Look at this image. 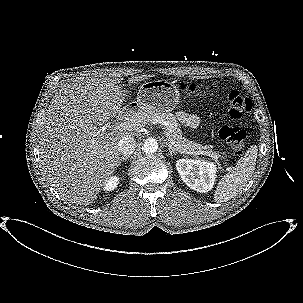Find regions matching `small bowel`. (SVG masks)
Returning a JSON list of instances; mask_svg holds the SVG:
<instances>
[{
    "label": "small bowel",
    "mask_w": 303,
    "mask_h": 303,
    "mask_svg": "<svg viewBox=\"0 0 303 303\" xmlns=\"http://www.w3.org/2000/svg\"><path fill=\"white\" fill-rule=\"evenodd\" d=\"M177 119L183 126L188 128H193L198 124L197 117L186 112H178Z\"/></svg>",
    "instance_id": "obj_1"
}]
</instances>
